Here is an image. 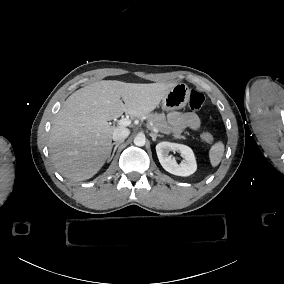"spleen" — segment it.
<instances>
[{
	"label": "spleen",
	"mask_w": 284,
	"mask_h": 284,
	"mask_svg": "<svg viewBox=\"0 0 284 284\" xmlns=\"http://www.w3.org/2000/svg\"><path fill=\"white\" fill-rule=\"evenodd\" d=\"M223 154L224 144L222 142H217L211 147L209 151V158L213 167H216L220 163Z\"/></svg>",
	"instance_id": "3e777b00"
}]
</instances>
